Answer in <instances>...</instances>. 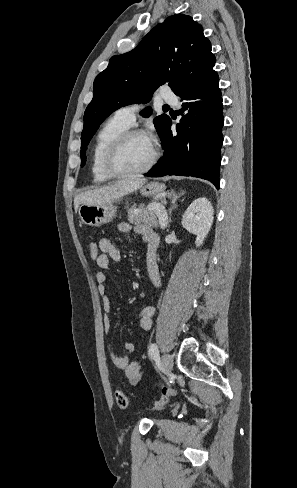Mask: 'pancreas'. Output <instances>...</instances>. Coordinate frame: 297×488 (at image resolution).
<instances>
[{"label":"pancreas","mask_w":297,"mask_h":488,"mask_svg":"<svg viewBox=\"0 0 297 488\" xmlns=\"http://www.w3.org/2000/svg\"><path fill=\"white\" fill-rule=\"evenodd\" d=\"M158 204L157 202H151L146 207L140 206L136 208L132 206L128 209V221L132 224L145 223L150 226H157V212L154 206Z\"/></svg>","instance_id":"1"}]
</instances>
